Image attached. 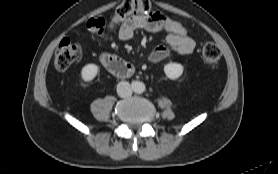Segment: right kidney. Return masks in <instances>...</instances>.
<instances>
[{
    "label": "right kidney",
    "mask_w": 278,
    "mask_h": 174,
    "mask_svg": "<svg viewBox=\"0 0 278 174\" xmlns=\"http://www.w3.org/2000/svg\"><path fill=\"white\" fill-rule=\"evenodd\" d=\"M98 73V66L95 64H87L81 70V78L85 82L92 81Z\"/></svg>",
    "instance_id": "obj_1"
}]
</instances>
